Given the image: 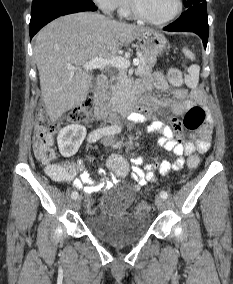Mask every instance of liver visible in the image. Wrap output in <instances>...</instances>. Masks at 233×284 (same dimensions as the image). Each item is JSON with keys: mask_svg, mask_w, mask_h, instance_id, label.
<instances>
[{"mask_svg": "<svg viewBox=\"0 0 233 284\" xmlns=\"http://www.w3.org/2000/svg\"><path fill=\"white\" fill-rule=\"evenodd\" d=\"M151 29L121 23L97 13L60 17L35 37L34 58L42 98L52 122L79 106L87 97L92 75L80 67L89 60L116 57L120 47Z\"/></svg>", "mask_w": 233, "mask_h": 284, "instance_id": "6515ba94", "label": "liver"}]
</instances>
